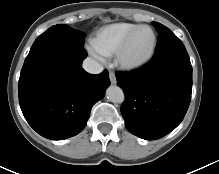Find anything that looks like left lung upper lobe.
<instances>
[{"instance_id":"1","label":"left lung upper lobe","mask_w":219,"mask_h":174,"mask_svg":"<svg viewBox=\"0 0 219 174\" xmlns=\"http://www.w3.org/2000/svg\"><path fill=\"white\" fill-rule=\"evenodd\" d=\"M152 25L158 32V43L155 53H159L167 49H185L183 43L172 33L169 28L157 22H152Z\"/></svg>"}]
</instances>
